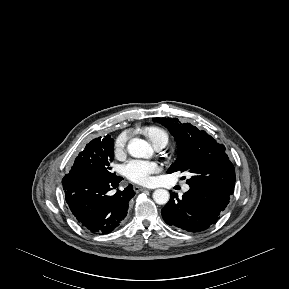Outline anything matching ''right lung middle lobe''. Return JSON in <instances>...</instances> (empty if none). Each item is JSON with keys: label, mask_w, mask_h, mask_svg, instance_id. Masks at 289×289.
<instances>
[{"label": "right lung middle lobe", "mask_w": 289, "mask_h": 289, "mask_svg": "<svg viewBox=\"0 0 289 289\" xmlns=\"http://www.w3.org/2000/svg\"><path fill=\"white\" fill-rule=\"evenodd\" d=\"M114 159V140L110 135L95 138L79 153L71 170L90 177L103 178L112 175L110 163Z\"/></svg>", "instance_id": "obj_1"}]
</instances>
